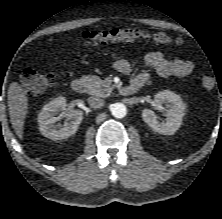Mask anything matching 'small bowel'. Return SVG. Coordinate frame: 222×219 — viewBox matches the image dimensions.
<instances>
[{
	"label": "small bowel",
	"instance_id": "small-bowel-1",
	"mask_svg": "<svg viewBox=\"0 0 222 219\" xmlns=\"http://www.w3.org/2000/svg\"><path fill=\"white\" fill-rule=\"evenodd\" d=\"M145 66L153 68L156 73L163 78L170 76H188L194 70L191 61L181 59L177 56H168L162 51H153L145 55L143 59ZM114 68L125 75L131 73L132 66L125 59H117L113 63ZM147 80V74L140 73L131 79V82H139L144 84Z\"/></svg>",
	"mask_w": 222,
	"mask_h": 219
}]
</instances>
